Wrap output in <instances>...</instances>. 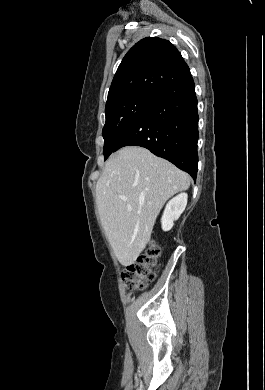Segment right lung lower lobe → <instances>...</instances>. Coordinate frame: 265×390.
I'll return each instance as SVG.
<instances>
[{
	"label": "right lung lower lobe",
	"instance_id": "1",
	"mask_svg": "<svg viewBox=\"0 0 265 390\" xmlns=\"http://www.w3.org/2000/svg\"><path fill=\"white\" fill-rule=\"evenodd\" d=\"M198 111L190 72L164 90L125 130L115 151L137 145L167 159L196 179Z\"/></svg>",
	"mask_w": 265,
	"mask_h": 390
}]
</instances>
